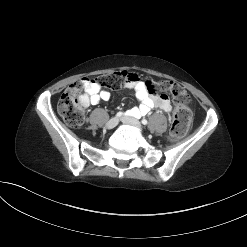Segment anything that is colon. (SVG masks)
I'll list each match as a JSON object with an SVG mask.
<instances>
[{"mask_svg": "<svg viewBox=\"0 0 247 247\" xmlns=\"http://www.w3.org/2000/svg\"><path fill=\"white\" fill-rule=\"evenodd\" d=\"M130 78V72L119 71L99 76L94 82L100 87L113 90L120 89ZM83 83L71 84L61 95L57 110L65 123L72 128H79L84 123V110L86 98L82 94ZM153 90L168 92L172 95L176 104V110L171 123L169 137L171 140H178L185 136L191 123V112L187 104L190 97L186 90L173 81H160Z\"/></svg>", "mask_w": 247, "mask_h": 247, "instance_id": "5ec220e1", "label": "colon"}]
</instances>
